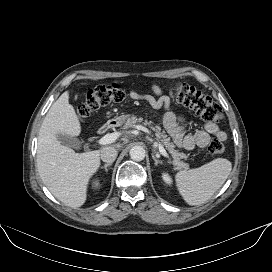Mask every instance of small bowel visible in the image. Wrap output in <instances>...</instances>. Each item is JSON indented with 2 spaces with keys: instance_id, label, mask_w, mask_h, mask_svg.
<instances>
[{
  "instance_id": "1",
  "label": "small bowel",
  "mask_w": 272,
  "mask_h": 272,
  "mask_svg": "<svg viewBox=\"0 0 272 272\" xmlns=\"http://www.w3.org/2000/svg\"><path fill=\"white\" fill-rule=\"evenodd\" d=\"M153 94H142L135 90H131L129 96L137 101H143L154 109L163 108L165 113L162 117V123L167 133L171 136L174 143L185 150H193L194 148H204L208 145L212 136L220 141H225L227 135L214 122H206L203 129L192 134H186L185 124L187 117L177 115L171 107V96L164 94L161 87L157 84L150 86Z\"/></svg>"
}]
</instances>
